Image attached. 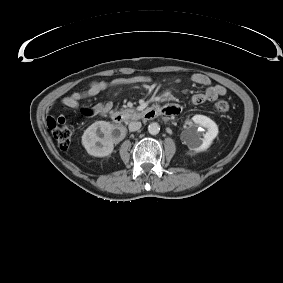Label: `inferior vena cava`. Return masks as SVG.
<instances>
[{
	"label": "inferior vena cava",
	"mask_w": 283,
	"mask_h": 283,
	"mask_svg": "<svg viewBox=\"0 0 283 283\" xmlns=\"http://www.w3.org/2000/svg\"><path fill=\"white\" fill-rule=\"evenodd\" d=\"M142 124L139 121H132L129 123L128 128L129 131L134 132L137 131L141 128Z\"/></svg>",
	"instance_id": "602c4592"
}]
</instances>
